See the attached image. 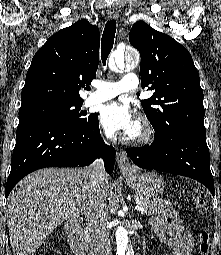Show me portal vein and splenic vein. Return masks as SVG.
<instances>
[{"instance_id":"portal-vein-and-splenic-vein-1","label":"portal vein and splenic vein","mask_w":221,"mask_h":255,"mask_svg":"<svg viewBox=\"0 0 221 255\" xmlns=\"http://www.w3.org/2000/svg\"><path fill=\"white\" fill-rule=\"evenodd\" d=\"M139 204H140V201H139V200H138V201H136L135 209H136V210H138V211H140V212L145 211V209H144V208H142V207H140V206H139Z\"/></svg>"}]
</instances>
